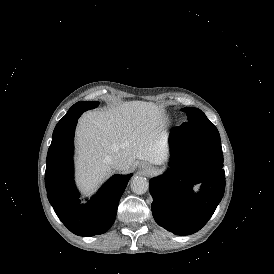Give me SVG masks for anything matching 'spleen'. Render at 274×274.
Segmentation results:
<instances>
[{
  "instance_id": "obj_1",
  "label": "spleen",
  "mask_w": 274,
  "mask_h": 274,
  "mask_svg": "<svg viewBox=\"0 0 274 274\" xmlns=\"http://www.w3.org/2000/svg\"><path fill=\"white\" fill-rule=\"evenodd\" d=\"M198 189H199V186L196 185V186L194 187V190L197 191Z\"/></svg>"
}]
</instances>
